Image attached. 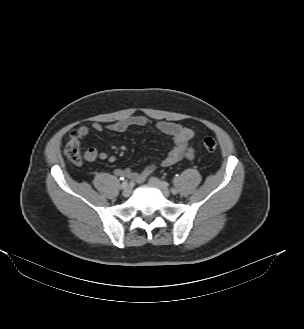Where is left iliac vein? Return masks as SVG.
Returning <instances> with one entry per match:
<instances>
[{
  "instance_id": "1",
  "label": "left iliac vein",
  "mask_w": 304,
  "mask_h": 329,
  "mask_svg": "<svg viewBox=\"0 0 304 329\" xmlns=\"http://www.w3.org/2000/svg\"><path fill=\"white\" fill-rule=\"evenodd\" d=\"M149 183L152 186L158 188L165 197H169L170 196V190H169V188L166 186V184L164 182L160 181L158 178L151 177L149 179Z\"/></svg>"
}]
</instances>
